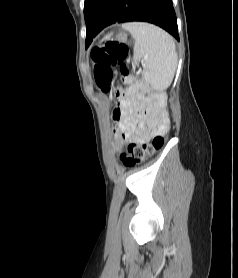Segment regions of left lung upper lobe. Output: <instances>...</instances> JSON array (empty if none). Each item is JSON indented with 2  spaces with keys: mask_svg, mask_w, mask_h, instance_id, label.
Masks as SVG:
<instances>
[{
  "mask_svg": "<svg viewBox=\"0 0 238 278\" xmlns=\"http://www.w3.org/2000/svg\"><path fill=\"white\" fill-rule=\"evenodd\" d=\"M102 0H85L84 17L88 28L92 15Z\"/></svg>",
  "mask_w": 238,
  "mask_h": 278,
  "instance_id": "obj_1",
  "label": "left lung upper lobe"
}]
</instances>
